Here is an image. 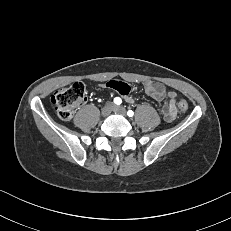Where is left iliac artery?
<instances>
[{
	"label": "left iliac artery",
	"instance_id": "left-iliac-artery-1",
	"mask_svg": "<svg viewBox=\"0 0 231 231\" xmlns=\"http://www.w3.org/2000/svg\"><path fill=\"white\" fill-rule=\"evenodd\" d=\"M127 115H128L129 117H132V116L134 115V112H133L132 110H129V111L127 112Z\"/></svg>",
	"mask_w": 231,
	"mask_h": 231
}]
</instances>
